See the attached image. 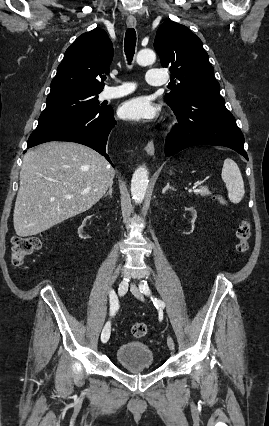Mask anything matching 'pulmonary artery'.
Masks as SVG:
<instances>
[{
  "label": "pulmonary artery",
  "mask_w": 269,
  "mask_h": 426,
  "mask_svg": "<svg viewBox=\"0 0 269 426\" xmlns=\"http://www.w3.org/2000/svg\"><path fill=\"white\" fill-rule=\"evenodd\" d=\"M146 81L151 85H164L168 81L167 74L158 68H150L146 71ZM133 91V87L127 83H122L118 87L106 88L102 97L106 100L116 99L123 97Z\"/></svg>",
  "instance_id": "pulmonary-artery-1"
}]
</instances>
